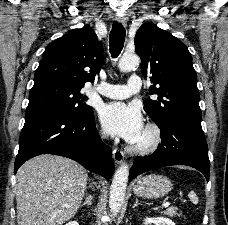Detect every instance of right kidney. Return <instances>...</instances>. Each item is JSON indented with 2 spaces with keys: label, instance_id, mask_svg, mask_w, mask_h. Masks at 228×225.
<instances>
[{
  "label": "right kidney",
  "instance_id": "ca27d5eb",
  "mask_svg": "<svg viewBox=\"0 0 228 225\" xmlns=\"http://www.w3.org/2000/svg\"><path fill=\"white\" fill-rule=\"evenodd\" d=\"M67 225H78L77 221H70V223H67Z\"/></svg>",
  "mask_w": 228,
  "mask_h": 225
}]
</instances>
